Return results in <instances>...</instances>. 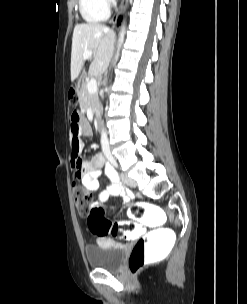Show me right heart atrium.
Instances as JSON below:
<instances>
[{
    "instance_id": "d8ad5b80",
    "label": "right heart atrium",
    "mask_w": 247,
    "mask_h": 304,
    "mask_svg": "<svg viewBox=\"0 0 247 304\" xmlns=\"http://www.w3.org/2000/svg\"><path fill=\"white\" fill-rule=\"evenodd\" d=\"M101 3L106 9H109L114 3V0H101Z\"/></svg>"
}]
</instances>
